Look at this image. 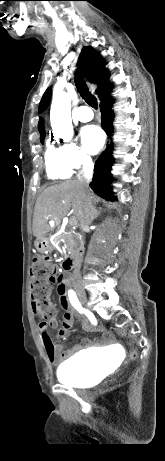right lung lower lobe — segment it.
I'll use <instances>...</instances> for the list:
<instances>
[{
  "label": "right lung lower lobe",
  "instance_id": "98d812e1",
  "mask_svg": "<svg viewBox=\"0 0 165 461\" xmlns=\"http://www.w3.org/2000/svg\"><path fill=\"white\" fill-rule=\"evenodd\" d=\"M113 100L110 97L109 99L101 102V125L106 134L111 138L113 133L112 121L114 113L111 110ZM114 158L112 156V146L111 144L107 146L105 151L95 162L93 180L90 183V187L93 191L102 198H105L109 201H114L115 197L112 195L111 186L112 176H111V166L113 164Z\"/></svg>",
  "mask_w": 165,
  "mask_h": 461
}]
</instances>
